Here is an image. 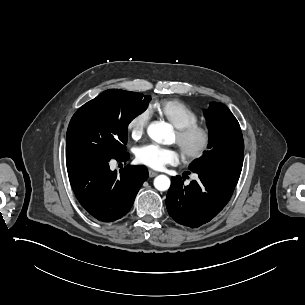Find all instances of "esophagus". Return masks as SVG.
I'll list each match as a JSON object with an SVG mask.
<instances>
[{"label": "esophagus", "instance_id": "34e87169", "mask_svg": "<svg viewBox=\"0 0 305 305\" xmlns=\"http://www.w3.org/2000/svg\"><path fill=\"white\" fill-rule=\"evenodd\" d=\"M158 175V173L157 172H155V171H152V170H149V177H155V176H157Z\"/></svg>", "mask_w": 305, "mask_h": 305}]
</instances>
